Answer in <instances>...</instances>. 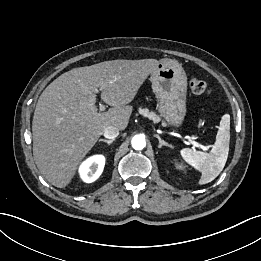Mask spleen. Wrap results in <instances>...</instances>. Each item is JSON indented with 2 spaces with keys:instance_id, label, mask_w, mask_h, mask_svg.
Returning <instances> with one entry per match:
<instances>
[{
  "instance_id": "obj_1",
  "label": "spleen",
  "mask_w": 261,
  "mask_h": 261,
  "mask_svg": "<svg viewBox=\"0 0 261 261\" xmlns=\"http://www.w3.org/2000/svg\"><path fill=\"white\" fill-rule=\"evenodd\" d=\"M230 116L224 115L220 122L216 141L210 153L184 148L180 151L182 158L201 172L199 184L213 181L223 170L229 152Z\"/></svg>"
}]
</instances>
